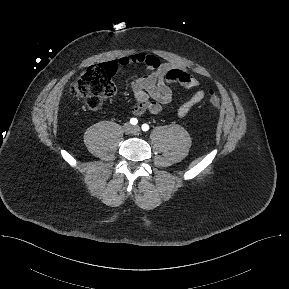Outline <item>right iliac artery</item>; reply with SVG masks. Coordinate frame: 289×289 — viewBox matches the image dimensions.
Segmentation results:
<instances>
[{
  "label": "right iliac artery",
  "instance_id": "right-iliac-artery-1",
  "mask_svg": "<svg viewBox=\"0 0 289 289\" xmlns=\"http://www.w3.org/2000/svg\"><path fill=\"white\" fill-rule=\"evenodd\" d=\"M130 123H131L132 125H136V124L138 123L137 118H131V119H130Z\"/></svg>",
  "mask_w": 289,
  "mask_h": 289
}]
</instances>
